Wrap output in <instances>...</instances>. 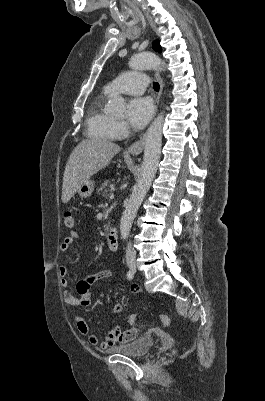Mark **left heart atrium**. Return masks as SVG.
Segmentation results:
<instances>
[{
    "label": "left heart atrium",
    "instance_id": "1",
    "mask_svg": "<svg viewBox=\"0 0 265 401\" xmlns=\"http://www.w3.org/2000/svg\"><path fill=\"white\" fill-rule=\"evenodd\" d=\"M153 107L150 100L135 97L127 104V118L135 129H141L151 118Z\"/></svg>",
    "mask_w": 265,
    "mask_h": 401
}]
</instances>
